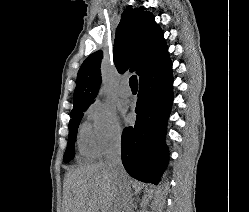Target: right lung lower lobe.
Segmentation results:
<instances>
[{"instance_id": "right-lung-lower-lobe-1", "label": "right lung lower lobe", "mask_w": 249, "mask_h": 212, "mask_svg": "<svg viewBox=\"0 0 249 212\" xmlns=\"http://www.w3.org/2000/svg\"><path fill=\"white\" fill-rule=\"evenodd\" d=\"M172 63L168 56L139 78L134 127L123 130L122 162L126 171L143 182L157 184L167 166L166 123L173 101Z\"/></svg>"}]
</instances>
